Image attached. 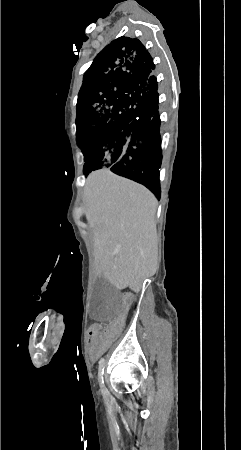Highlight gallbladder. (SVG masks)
I'll use <instances>...</instances> for the list:
<instances>
[{
  "instance_id": "obj_1",
  "label": "gallbladder",
  "mask_w": 241,
  "mask_h": 450,
  "mask_svg": "<svg viewBox=\"0 0 241 450\" xmlns=\"http://www.w3.org/2000/svg\"><path fill=\"white\" fill-rule=\"evenodd\" d=\"M121 293L112 281L97 278L94 293L89 303V313L94 323H110L116 319Z\"/></svg>"
}]
</instances>
